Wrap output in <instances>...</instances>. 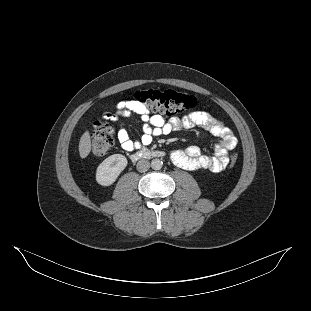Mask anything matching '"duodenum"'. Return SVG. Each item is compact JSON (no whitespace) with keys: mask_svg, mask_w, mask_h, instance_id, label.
Instances as JSON below:
<instances>
[{"mask_svg":"<svg viewBox=\"0 0 311 311\" xmlns=\"http://www.w3.org/2000/svg\"><path fill=\"white\" fill-rule=\"evenodd\" d=\"M164 156L163 151L159 150H149V149H142L139 150L131 155L132 160L137 161L140 159H149L154 157H162Z\"/></svg>","mask_w":311,"mask_h":311,"instance_id":"obj_1","label":"duodenum"}]
</instances>
